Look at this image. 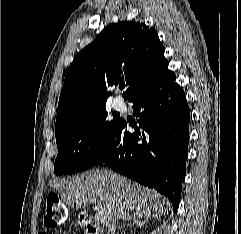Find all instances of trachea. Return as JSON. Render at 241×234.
Returning <instances> with one entry per match:
<instances>
[{
	"instance_id": "1",
	"label": "trachea",
	"mask_w": 241,
	"mask_h": 234,
	"mask_svg": "<svg viewBox=\"0 0 241 234\" xmlns=\"http://www.w3.org/2000/svg\"><path fill=\"white\" fill-rule=\"evenodd\" d=\"M124 85H120V88L123 89Z\"/></svg>"
}]
</instances>
